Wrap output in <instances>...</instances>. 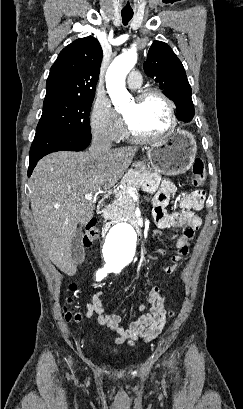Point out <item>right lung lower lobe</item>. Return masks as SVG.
Instances as JSON below:
<instances>
[{"instance_id": "1", "label": "right lung lower lobe", "mask_w": 243, "mask_h": 409, "mask_svg": "<svg viewBox=\"0 0 243 409\" xmlns=\"http://www.w3.org/2000/svg\"><path fill=\"white\" fill-rule=\"evenodd\" d=\"M91 142V134H60L37 131L31 145L28 176L32 174L37 162L45 155L62 150L81 151Z\"/></svg>"}]
</instances>
